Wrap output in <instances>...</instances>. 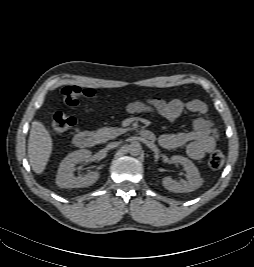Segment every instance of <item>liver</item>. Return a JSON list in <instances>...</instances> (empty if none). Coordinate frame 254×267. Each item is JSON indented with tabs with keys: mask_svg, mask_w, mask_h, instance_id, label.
<instances>
[{
	"mask_svg": "<svg viewBox=\"0 0 254 267\" xmlns=\"http://www.w3.org/2000/svg\"><path fill=\"white\" fill-rule=\"evenodd\" d=\"M53 141L49 131L39 121H35L30 129L28 140V157L32 170L42 174L52 153Z\"/></svg>",
	"mask_w": 254,
	"mask_h": 267,
	"instance_id": "obj_1",
	"label": "liver"
}]
</instances>
